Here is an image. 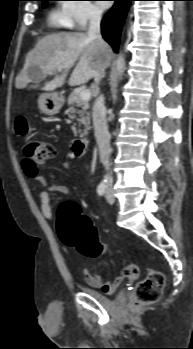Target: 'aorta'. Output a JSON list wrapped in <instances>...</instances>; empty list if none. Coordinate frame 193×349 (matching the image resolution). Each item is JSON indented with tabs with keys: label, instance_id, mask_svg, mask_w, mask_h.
Returning a JSON list of instances; mask_svg holds the SVG:
<instances>
[{
	"label": "aorta",
	"instance_id": "1",
	"mask_svg": "<svg viewBox=\"0 0 193 349\" xmlns=\"http://www.w3.org/2000/svg\"><path fill=\"white\" fill-rule=\"evenodd\" d=\"M116 70L118 77L121 79L125 70V57L123 54H120L116 60Z\"/></svg>",
	"mask_w": 193,
	"mask_h": 349
}]
</instances>
